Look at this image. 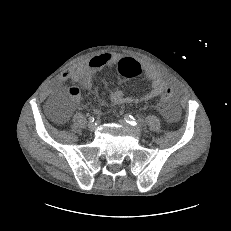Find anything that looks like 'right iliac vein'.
<instances>
[{"label":"right iliac vein","instance_id":"obj_1","mask_svg":"<svg viewBox=\"0 0 231 231\" xmlns=\"http://www.w3.org/2000/svg\"><path fill=\"white\" fill-rule=\"evenodd\" d=\"M87 128H88L90 131H94V129H95V124L92 123V122H89L88 125H87Z\"/></svg>","mask_w":231,"mask_h":231}]
</instances>
